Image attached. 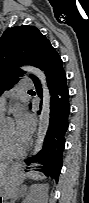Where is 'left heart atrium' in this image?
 <instances>
[{
  "instance_id": "39dd6f15",
  "label": "left heart atrium",
  "mask_w": 89,
  "mask_h": 203,
  "mask_svg": "<svg viewBox=\"0 0 89 203\" xmlns=\"http://www.w3.org/2000/svg\"><path fill=\"white\" fill-rule=\"evenodd\" d=\"M15 128L18 135L27 141L34 129L32 115L24 110L18 111L15 117Z\"/></svg>"
}]
</instances>
